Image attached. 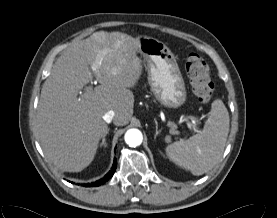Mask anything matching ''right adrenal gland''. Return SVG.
<instances>
[{
	"label": "right adrenal gland",
	"mask_w": 277,
	"mask_h": 218,
	"mask_svg": "<svg viewBox=\"0 0 277 218\" xmlns=\"http://www.w3.org/2000/svg\"><path fill=\"white\" fill-rule=\"evenodd\" d=\"M108 133H109V129L107 130L106 134H105V135L103 136V138H102V142L100 143V146H101V147H102V146H104V147L107 146L105 137L107 136Z\"/></svg>",
	"instance_id": "obj_1"
}]
</instances>
